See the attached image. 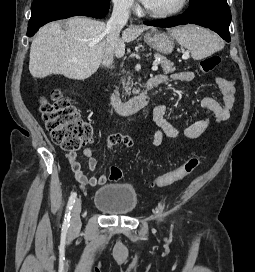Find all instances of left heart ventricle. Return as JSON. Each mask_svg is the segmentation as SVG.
Wrapping results in <instances>:
<instances>
[{"mask_svg":"<svg viewBox=\"0 0 255 272\" xmlns=\"http://www.w3.org/2000/svg\"><path fill=\"white\" fill-rule=\"evenodd\" d=\"M181 0H149L147 9L152 12H162L176 7Z\"/></svg>","mask_w":255,"mask_h":272,"instance_id":"obj_1","label":"left heart ventricle"}]
</instances>
